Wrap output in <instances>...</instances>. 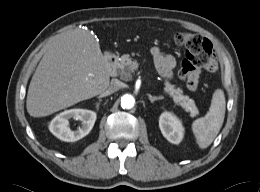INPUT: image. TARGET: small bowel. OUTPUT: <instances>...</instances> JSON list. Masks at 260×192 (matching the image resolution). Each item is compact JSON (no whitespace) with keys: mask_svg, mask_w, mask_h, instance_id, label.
Returning <instances> with one entry per match:
<instances>
[{"mask_svg":"<svg viewBox=\"0 0 260 192\" xmlns=\"http://www.w3.org/2000/svg\"><path fill=\"white\" fill-rule=\"evenodd\" d=\"M150 53L158 72L165 78H171L173 75V69L176 66L175 58L172 55L164 54L159 46H153L150 49ZM215 67L216 66L206 69L212 71Z\"/></svg>","mask_w":260,"mask_h":192,"instance_id":"small-bowel-1","label":"small bowel"}]
</instances>
